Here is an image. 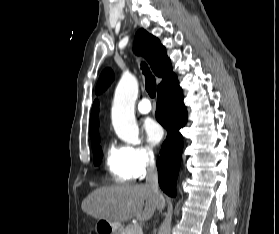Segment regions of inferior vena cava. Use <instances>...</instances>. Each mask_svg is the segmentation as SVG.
Returning <instances> with one entry per match:
<instances>
[{"label": "inferior vena cava", "mask_w": 279, "mask_h": 234, "mask_svg": "<svg viewBox=\"0 0 279 234\" xmlns=\"http://www.w3.org/2000/svg\"><path fill=\"white\" fill-rule=\"evenodd\" d=\"M146 186L161 199L162 202L158 208L162 209L164 207L165 200L159 191L158 175L153 159H150L149 168L147 169Z\"/></svg>", "instance_id": "obj_1"}]
</instances>
